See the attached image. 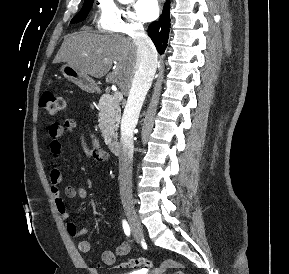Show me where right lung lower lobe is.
<instances>
[{"mask_svg": "<svg viewBox=\"0 0 289 274\" xmlns=\"http://www.w3.org/2000/svg\"><path fill=\"white\" fill-rule=\"evenodd\" d=\"M170 0H166L159 21L152 22L148 27V35L154 42L158 52L164 53L170 31Z\"/></svg>", "mask_w": 289, "mask_h": 274, "instance_id": "98d812e1", "label": "right lung lower lobe"}]
</instances>
